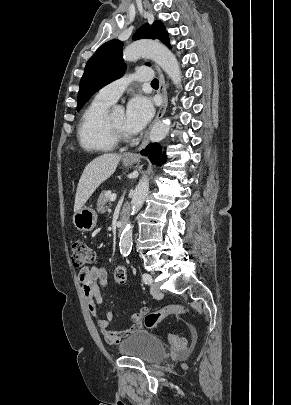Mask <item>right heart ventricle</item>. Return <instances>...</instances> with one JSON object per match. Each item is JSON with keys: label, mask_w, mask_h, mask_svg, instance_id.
Returning a JSON list of instances; mask_svg holds the SVG:
<instances>
[{"label": "right heart ventricle", "mask_w": 291, "mask_h": 405, "mask_svg": "<svg viewBox=\"0 0 291 405\" xmlns=\"http://www.w3.org/2000/svg\"><path fill=\"white\" fill-rule=\"evenodd\" d=\"M111 103L95 97L84 110L77 136L81 147L89 152H109L115 149L116 143L107 128V111Z\"/></svg>", "instance_id": "e07e8e85"}]
</instances>
